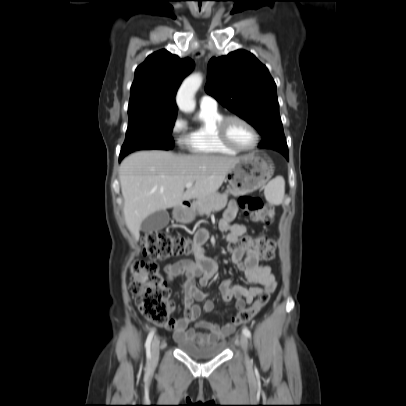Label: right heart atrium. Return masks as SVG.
<instances>
[{
    "mask_svg": "<svg viewBox=\"0 0 406 406\" xmlns=\"http://www.w3.org/2000/svg\"><path fill=\"white\" fill-rule=\"evenodd\" d=\"M186 130H187V122L186 120L177 115L172 123V134L175 136L177 143L185 144L186 140Z\"/></svg>",
    "mask_w": 406,
    "mask_h": 406,
    "instance_id": "1",
    "label": "right heart atrium"
}]
</instances>
